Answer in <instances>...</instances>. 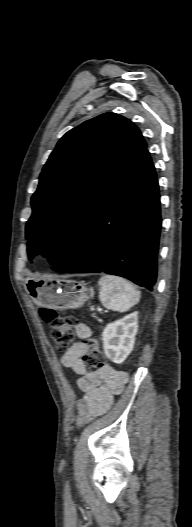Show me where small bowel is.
Masks as SVG:
<instances>
[{"label": "small bowel", "instance_id": "small-bowel-1", "mask_svg": "<svg viewBox=\"0 0 192 527\" xmlns=\"http://www.w3.org/2000/svg\"><path fill=\"white\" fill-rule=\"evenodd\" d=\"M75 329L79 337L89 335V330L83 324H77ZM87 350L88 347L85 344L75 343L64 352L61 358L64 367L72 369L79 375L77 385L84 393L76 406L78 424L109 410L114 396L122 392L127 381V374L124 371L116 370L110 365L96 371H88L83 361Z\"/></svg>", "mask_w": 192, "mask_h": 527}]
</instances>
